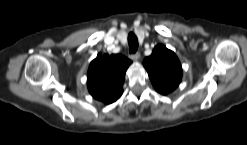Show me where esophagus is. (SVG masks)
Here are the masks:
<instances>
[{
    "instance_id": "obj_1",
    "label": "esophagus",
    "mask_w": 247,
    "mask_h": 145,
    "mask_svg": "<svg viewBox=\"0 0 247 145\" xmlns=\"http://www.w3.org/2000/svg\"><path fill=\"white\" fill-rule=\"evenodd\" d=\"M130 58L132 60L137 61L140 58V53L139 52H136V53L130 54Z\"/></svg>"
}]
</instances>
